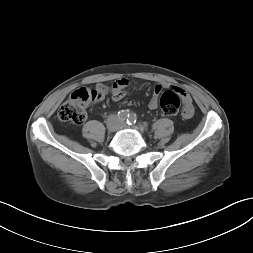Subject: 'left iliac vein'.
Wrapping results in <instances>:
<instances>
[{"mask_svg":"<svg viewBox=\"0 0 253 253\" xmlns=\"http://www.w3.org/2000/svg\"><path fill=\"white\" fill-rule=\"evenodd\" d=\"M121 125H122L123 127H125V124H124V123H122Z\"/></svg>","mask_w":253,"mask_h":253,"instance_id":"obj_1","label":"left iliac vein"}]
</instances>
